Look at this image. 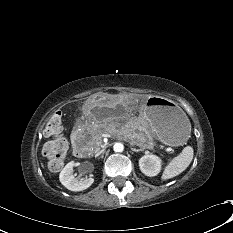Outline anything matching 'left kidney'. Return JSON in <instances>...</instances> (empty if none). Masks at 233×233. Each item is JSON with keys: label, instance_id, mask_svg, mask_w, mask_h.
<instances>
[{"label": "left kidney", "instance_id": "obj_1", "mask_svg": "<svg viewBox=\"0 0 233 233\" xmlns=\"http://www.w3.org/2000/svg\"><path fill=\"white\" fill-rule=\"evenodd\" d=\"M142 173L147 176H156L161 170V159L156 155L146 154L139 160Z\"/></svg>", "mask_w": 233, "mask_h": 233}]
</instances>
